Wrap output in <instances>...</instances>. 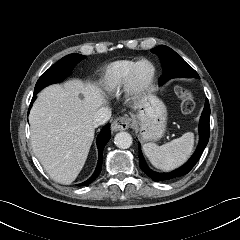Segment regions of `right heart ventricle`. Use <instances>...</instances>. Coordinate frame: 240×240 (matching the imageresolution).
<instances>
[{"label":"right heart ventricle","mask_w":240,"mask_h":240,"mask_svg":"<svg viewBox=\"0 0 240 240\" xmlns=\"http://www.w3.org/2000/svg\"><path fill=\"white\" fill-rule=\"evenodd\" d=\"M135 60H118L109 64L102 75V86L108 93H118L126 88V78Z\"/></svg>","instance_id":"1"}]
</instances>
